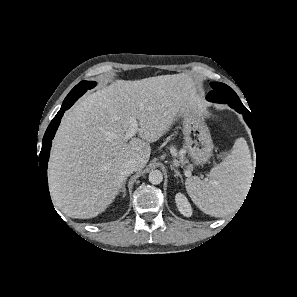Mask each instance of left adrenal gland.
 I'll return each mask as SVG.
<instances>
[{"instance_id":"a2214340","label":"left adrenal gland","mask_w":297,"mask_h":297,"mask_svg":"<svg viewBox=\"0 0 297 297\" xmlns=\"http://www.w3.org/2000/svg\"><path fill=\"white\" fill-rule=\"evenodd\" d=\"M170 168H171V170H173L174 172H175V177H180V179H181V181L183 182V177H182V175L180 174V172L178 171V169H176L175 167H174V165H170Z\"/></svg>"}]
</instances>
